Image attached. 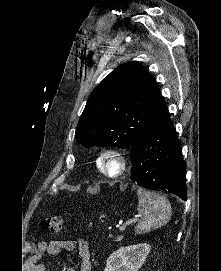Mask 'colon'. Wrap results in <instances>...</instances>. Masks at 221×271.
I'll return each instance as SVG.
<instances>
[{
    "mask_svg": "<svg viewBox=\"0 0 221 271\" xmlns=\"http://www.w3.org/2000/svg\"><path fill=\"white\" fill-rule=\"evenodd\" d=\"M42 227L52 234H58L62 229L61 217L57 214L45 216L42 220Z\"/></svg>",
    "mask_w": 221,
    "mask_h": 271,
    "instance_id": "obj_1",
    "label": "colon"
}]
</instances>
